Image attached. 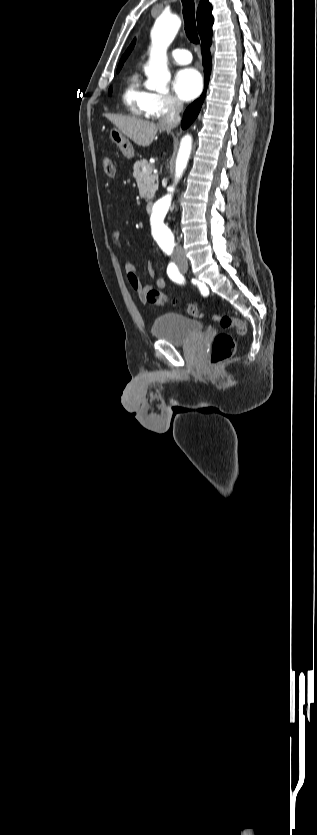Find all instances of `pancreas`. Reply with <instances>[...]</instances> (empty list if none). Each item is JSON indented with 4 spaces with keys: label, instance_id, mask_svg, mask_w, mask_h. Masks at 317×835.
Instances as JSON below:
<instances>
[{
    "label": "pancreas",
    "instance_id": "1",
    "mask_svg": "<svg viewBox=\"0 0 317 835\" xmlns=\"http://www.w3.org/2000/svg\"><path fill=\"white\" fill-rule=\"evenodd\" d=\"M143 168H147L148 171L143 172ZM133 170L140 197L147 200L152 199L158 189V176L152 174L153 166L143 159L135 162Z\"/></svg>",
    "mask_w": 317,
    "mask_h": 835
}]
</instances>
